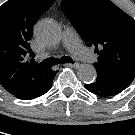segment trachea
<instances>
[{"label": "trachea", "instance_id": "trachea-1", "mask_svg": "<svg viewBox=\"0 0 135 135\" xmlns=\"http://www.w3.org/2000/svg\"><path fill=\"white\" fill-rule=\"evenodd\" d=\"M58 63L60 64H64V63H74V61L72 60L71 57L69 56H63L60 59L51 57V58H47L45 60H43L41 63H39L38 65L41 67H47V66H53V65H57Z\"/></svg>", "mask_w": 135, "mask_h": 135}]
</instances>
